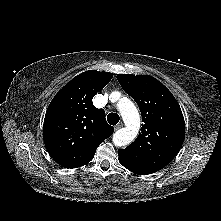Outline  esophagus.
<instances>
[{
  "label": "esophagus",
  "mask_w": 221,
  "mask_h": 221,
  "mask_svg": "<svg viewBox=\"0 0 221 221\" xmlns=\"http://www.w3.org/2000/svg\"><path fill=\"white\" fill-rule=\"evenodd\" d=\"M122 127H123V123L120 122L119 124H117V125L115 126V130H119V129H121Z\"/></svg>",
  "instance_id": "esophagus-1"
}]
</instances>
